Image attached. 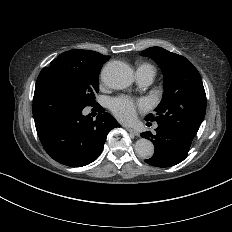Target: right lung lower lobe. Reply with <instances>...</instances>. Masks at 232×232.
<instances>
[{
  "label": "right lung lower lobe",
  "instance_id": "right-lung-lower-lobe-1",
  "mask_svg": "<svg viewBox=\"0 0 232 232\" xmlns=\"http://www.w3.org/2000/svg\"><path fill=\"white\" fill-rule=\"evenodd\" d=\"M84 108L56 86L36 83L33 117L39 139L51 158L70 167L97 159L108 133L120 127L101 106L93 108L99 113L96 120L84 116Z\"/></svg>",
  "mask_w": 232,
  "mask_h": 232
}]
</instances>
